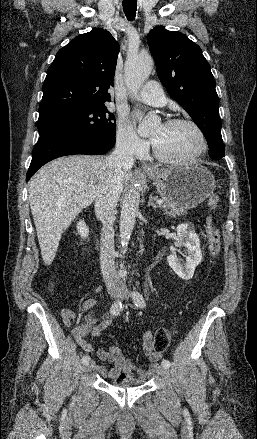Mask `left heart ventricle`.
I'll return each mask as SVG.
<instances>
[{"mask_svg":"<svg viewBox=\"0 0 257 439\" xmlns=\"http://www.w3.org/2000/svg\"><path fill=\"white\" fill-rule=\"evenodd\" d=\"M158 148L174 158H186L195 154L200 147L196 131L189 125H157L151 132Z\"/></svg>","mask_w":257,"mask_h":439,"instance_id":"b2bd125f","label":"left heart ventricle"}]
</instances>
